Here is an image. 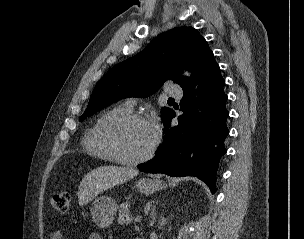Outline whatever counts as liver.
<instances>
[{
	"label": "liver",
	"mask_w": 304,
	"mask_h": 239,
	"mask_svg": "<svg viewBox=\"0 0 304 239\" xmlns=\"http://www.w3.org/2000/svg\"><path fill=\"white\" fill-rule=\"evenodd\" d=\"M137 175V170L118 166H101L91 170L80 182L79 205L88 204L101 192L123 184Z\"/></svg>",
	"instance_id": "6515ba94"
}]
</instances>
